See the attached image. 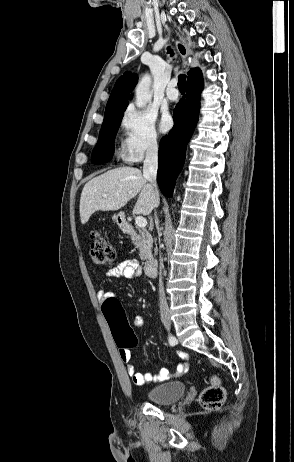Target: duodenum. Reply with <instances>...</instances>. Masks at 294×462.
<instances>
[{"instance_id":"1","label":"duodenum","mask_w":294,"mask_h":462,"mask_svg":"<svg viewBox=\"0 0 294 462\" xmlns=\"http://www.w3.org/2000/svg\"><path fill=\"white\" fill-rule=\"evenodd\" d=\"M118 222L123 232L129 233V234H133L135 232L134 228L127 222L124 216H119ZM157 267L158 265L155 259L153 258L147 259L144 265L145 274L148 277H155L157 275Z\"/></svg>"}]
</instances>
